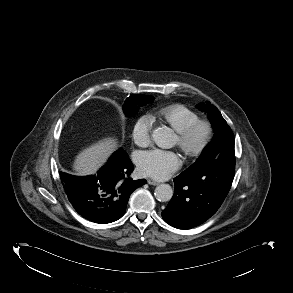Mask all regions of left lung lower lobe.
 Returning <instances> with one entry per match:
<instances>
[{"mask_svg": "<svg viewBox=\"0 0 293 293\" xmlns=\"http://www.w3.org/2000/svg\"><path fill=\"white\" fill-rule=\"evenodd\" d=\"M235 165L221 169H186L174 178L173 198L162 212L163 219L178 229L200 225L221 206L230 190Z\"/></svg>", "mask_w": 293, "mask_h": 293, "instance_id": "left-lung-lower-lobe-1", "label": "left lung lower lobe"}]
</instances>
